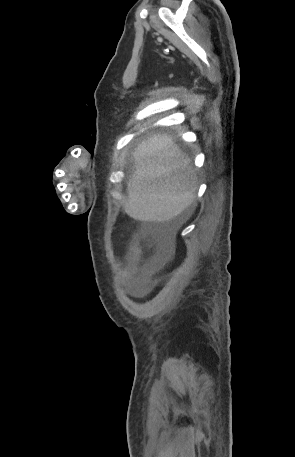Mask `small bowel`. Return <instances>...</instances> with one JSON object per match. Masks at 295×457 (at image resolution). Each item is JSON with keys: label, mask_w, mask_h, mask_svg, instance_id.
I'll use <instances>...</instances> for the list:
<instances>
[{"label": "small bowel", "mask_w": 295, "mask_h": 457, "mask_svg": "<svg viewBox=\"0 0 295 457\" xmlns=\"http://www.w3.org/2000/svg\"><path fill=\"white\" fill-rule=\"evenodd\" d=\"M135 293H136L137 295L142 294V293H143V288H142V287H137L136 290H135Z\"/></svg>", "instance_id": "obj_1"}]
</instances>
